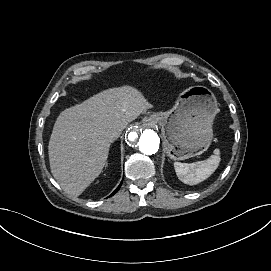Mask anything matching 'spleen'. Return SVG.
I'll list each match as a JSON object with an SVG mask.
<instances>
[{
	"label": "spleen",
	"mask_w": 271,
	"mask_h": 271,
	"mask_svg": "<svg viewBox=\"0 0 271 271\" xmlns=\"http://www.w3.org/2000/svg\"><path fill=\"white\" fill-rule=\"evenodd\" d=\"M219 149L214 150V155H211L204 161L195 163L174 162L175 172L178 177H187L195 184L207 179L218 167L220 162Z\"/></svg>",
	"instance_id": "3e777b00"
}]
</instances>
